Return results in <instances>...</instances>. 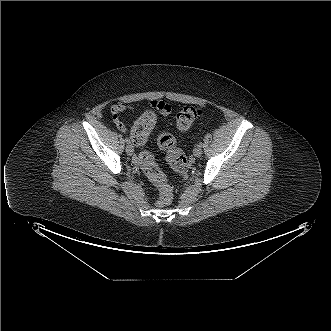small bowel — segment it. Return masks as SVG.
Here are the masks:
<instances>
[{
  "instance_id": "obj_1",
  "label": "small bowel",
  "mask_w": 331,
  "mask_h": 331,
  "mask_svg": "<svg viewBox=\"0 0 331 331\" xmlns=\"http://www.w3.org/2000/svg\"><path fill=\"white\" fill-rule=\"evenodd\" d=\"M149 108L156 110L157 112H159L162 115H169L172 112V107L168 103H166L165 101L160 100V99L151 100L149 102ZM129 110H132V107L125 103H116V104L112 105L111 110H110L112 119H113L116 127L122 132L127 131V126L122 122L121 115L124 112L129 111ZM144 153H147V152H143L140 154V156L138 157L139 161H140L141 155Z\"/></svg>"
}]
</instances>
